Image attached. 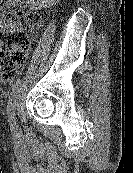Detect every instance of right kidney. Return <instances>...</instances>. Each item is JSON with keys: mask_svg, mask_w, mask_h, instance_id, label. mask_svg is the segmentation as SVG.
<instances>
[{"mask_svg": "<svg viewBox=\"0 0 133 173\" xmlns=\"http://www.w3.org/2000/svg\"><path fill=\"white\" fill-rule=\"evenodd\" d=\"M55 1L58 2L60 0H27V3L31 9H34L37 7L40 8L42 6H47L49 4L54 3Z\"/></svg>", "mask_w": 133, "mask_h": 173, "instance_id": "ca27d5eb", "label": "right kidney"}]
</instances>
